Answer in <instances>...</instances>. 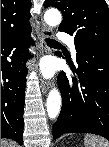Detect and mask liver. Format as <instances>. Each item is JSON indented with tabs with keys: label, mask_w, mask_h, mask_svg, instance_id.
<instances>
[{
	"label": "liver",
	"mask_w": 109,
	"mask_h": 147,
	"mask_svg": "<svg viewBox=\"0 0 109 147\" xmlns=\"http://www.w3.org/2000/svg\"><path fill=\"white\" fill-rule=\"evenodd\" d=\"M1 146L2 147H15V142H13L11 140H5V139H3L1 141Z\"/></svg>",
	"instance_id": "1"
}]
</instances>
